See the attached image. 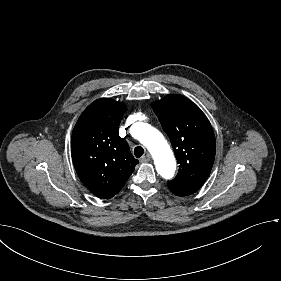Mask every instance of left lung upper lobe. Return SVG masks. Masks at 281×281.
I'll return each mask as SVG.
<instances>
[{
  "instance_id": "obj_1",
  "label": "left lung upper lobe",
  "mask_w": 281,
  "mask_h": 281,
  "mask_svg": "<svg viewBox=\"0 0 281 281\" xmlns=\"http://www.w3.org/2000/svg\"><path fill=\"white\" fill-rule=\"evenodd\" d=\"M152 108L180 164L177 176L167 185L175 195L192 194L204 184L213 166L216 142L210 122L182 95H167L154 102Z\"/></svg>"
}]
</instances>
